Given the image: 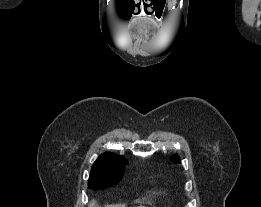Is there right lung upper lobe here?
<instances>
[{
	"label": "right lung upper lobe",
	"mask_w": 261,
	"mask_h": 207,
	"mask_svg": "<svg viewBox=\"0 0 261 207\" xmlns=\"http://www.w3.org/2000/svg\"><path fill=\"white\" fill-rule=\"evenodd\" d=\"M126 160L124 157L114 153L102 154L94 163L92 168L111 167Z\"/></svg>",
	"instance_id": "1"
}]
</instances>
